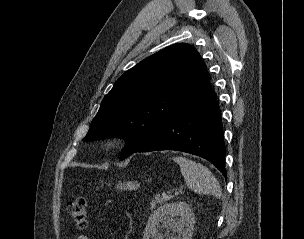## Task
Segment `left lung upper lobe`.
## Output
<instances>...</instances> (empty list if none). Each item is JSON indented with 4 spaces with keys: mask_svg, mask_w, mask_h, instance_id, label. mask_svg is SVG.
<instances>
[{
    "mask_svg": "<svg viewBox=\"0 0 304 239\" xmlns=\"http://www.w3.org/2000/svg\"><path fill=\"white\" fill-rule=\"evenodd\" d=\"M210 81L197 50L171 45L126 71L103 98L83 141L122 137L120 159L144 145Z\"/></svg>",
    "mask_w": 304,
    "mask_h": 239,
    "instance_id": "obj_1",
    "label": "left lung upper lobe"
}]
</instances>
